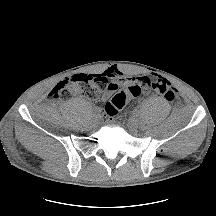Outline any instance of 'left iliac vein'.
Masks as SVG:
<instances>
[{
    "label": "left iliac vein",
    "mask_w": 216,
    "mask_h": 216,
    "mask_svg": "<svg viewBox=\"0 0 216 216\" xmlns=\"http://www.w3.org/2000/svg\"><path fill=\"white\" fill-rule=\"evenodd\" d=\"M139 126H140V121L136 117V115L134 114V116L130 117L129 120H128V128L131 131H136Z\"/></svg>",
    "instance_id": "4c4485c4"
}]
</instances>
